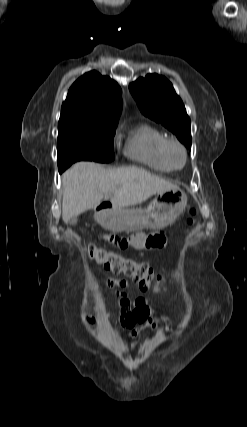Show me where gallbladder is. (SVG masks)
<instances>
[{"label": "gallbladder", "instance_id": "obj_1", "mask_svg": "<svg viewBox=\"0 0 247 427\" xmlns=\"http://www.w3.org/2000/svg\"><path fill=\"white\" fill-rule=\"evenodd\" d=\"M68 223H70V224H76L77 223V216H74V217L70 218L68 220Z\"/></svg>", "mask_w": 247, "mask_h": 427}]
</instances>
